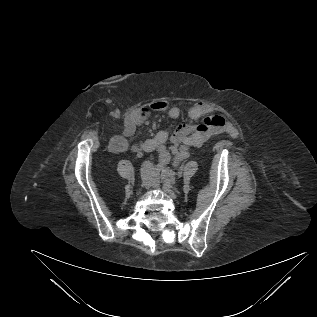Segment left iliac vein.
Masks as SVG:
<instances>
[{"label":"left iliac vein","mask_w":317,"mask_h":317,"mask_svg":"<svg viewBox=\"0 0 317 317\" xmlns=\"http://www.w3.org/2000/svg\"><path fill=\"white\" fill-rule=\"evenodd\" d=\"M173 172L172 171H169V178L167 179L168 180V184H166V185H164L163 186V190L165 191V192H167V193H170L171 194V186H170V183L172 182V177H173ZM152 176L154 177V178H156V179H159V176H160V173H159V170H157V169H154L153 171H152ZM155 187H159V185H155Z\"/></svg>","instance_id":"1"}]
</instances>
